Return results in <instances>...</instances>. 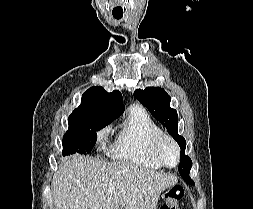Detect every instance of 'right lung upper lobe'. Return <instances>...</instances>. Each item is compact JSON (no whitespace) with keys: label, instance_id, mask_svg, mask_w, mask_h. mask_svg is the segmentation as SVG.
<instances>
[{"label":"right lung upper lobe","instance_id":"right-lung-upper-lobe-1","mask_svg":"<svg viewBox=\"0 0 253 209\" xmlns=\"http://www.w3.org/2000/svg\"><path fill=\"white\" fill-rule=\"evenodd\" d=\"M123 99L119 91L108 93L101 86L89 88L81 99V105L69 116V120L97 115L107 119L118 118L122 113Z\"/></svg>","mask_w":253,"mask_h":209}]
</instances>
